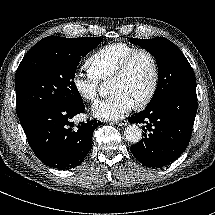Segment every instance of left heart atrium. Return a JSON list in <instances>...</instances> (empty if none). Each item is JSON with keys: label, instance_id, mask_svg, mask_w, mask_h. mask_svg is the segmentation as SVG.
<instances>
[{"label": "left heart atrium", "instance_id": "1", "mask_svg": "<svg viewBox=\"0 0 215 215\" xmlns=\"http://www.w3.org/2000/svg\"><path fill=\"white\" fill-rule=\"evenodd\" d=\"M132 101L123 93H114L109 98L95 103L92 113L100 119H120L133 108Z\"/></svg>", "mask_w": 215, "mask_h": 215}]
</instances>
